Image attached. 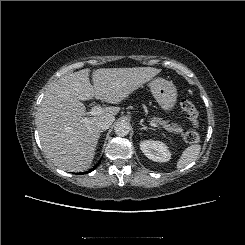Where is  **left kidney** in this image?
I'll use <instances>...</instances> for the list:
<instances>
[{"label": "left kidney", "instance_id": "5707ae66", "mask_svg": "<svg viewBox=\"0 0 245 245\" xmlns=\"http://www.w3.org/2000/svg\"><path fill=\"white\" fill-rule=\"evenodd\" d=\"M140 149L144 153V155L152 161L168 162L171 158V153L168 147L161 141H141Z\"/></svg>", "mask_w": 245, "mask_h": 245}]
</instances>
